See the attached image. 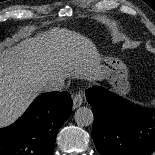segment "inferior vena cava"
<instances>
[{"label":"inferior vena cava","mask_w":155,"mask_h":155,"mask_svg":"<svg viewBox=\"0 0 155 155\" xmlns=\"http://www.w3.org/2000/svg\"><path fill=\"white\" fill-rule=\"evenodd\" d=\"M63 88H64V83L62 81L52 80V81H49L43 87V91L45 92L62 91Z\"/></svg>","instance_id":"1"}]
</instances>
